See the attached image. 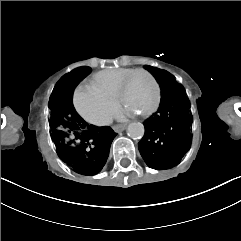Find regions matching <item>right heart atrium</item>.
<instances>
[{
	"instance_id": "obj_1",
	"label": "right heart atrium",
	"mask_w": 241,
	"mask_h": 241,
	"mask_svg": "<svg viewBox=\"0 0 241 241\" xmlns=\"http://www.w3.org/2000/svg\"><path fill=\"white\" fill-rule=\"evenodd\" d=\"M82 86H77L73 93V104L80 115L94 125L108 124L116 110L113 106L114 99H107L111 94L101 92L94 84Z\"/></svg>"
}]
</instances>
